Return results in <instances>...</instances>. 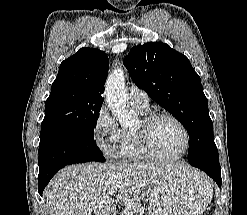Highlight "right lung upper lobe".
<instances>
[{
  "label": "right lung upper lobe",
  "instance_id": "obj_1",
  "mask_svg": "<svg viewBox=\"0 0 247 215\" xmlns=\"http://www.w3.org/2000/svg\"><path fill=\"white\" fill-rule=\"evenodd\" d=\"M108 68L109 60L103 51L81 48L61 63L51 92L68 89L76 96L103 102Z\"/></svg>",
  "mask_w": 247,
  "mask_h": 215
}]
</instances>
